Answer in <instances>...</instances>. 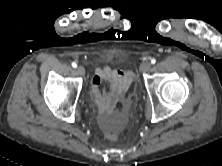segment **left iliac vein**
<instances>
[{"instance_id":"1","label":"left iliac vein","mask_w":222,"mask_h":166,"mask_svg":"<svg viewBox=\"0 0 222 166\" xmlns=\"http://www.w3.org/2000/svg\"><path fill=\"white\" fill-rule=\"evenodd\" d=\"M151 69V63L150 62H144L140 66L141 72H148Z\"/></svg>"}]
</instances>
